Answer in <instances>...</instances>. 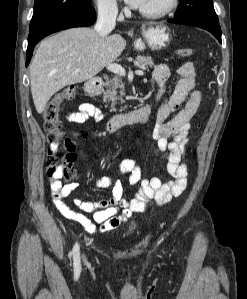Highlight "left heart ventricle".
Here are the masks:
<instances>
[{"label":"left heart ventricle","mask_w":247,"mask_h":299,"mask_svg":"<svg viewBox=\"0 0 247 299\" xmlns=\"http://www.w3.org/2000/svg\"><path fill=\"white\" fill-rule=\"evenodd\" d=\"M167 0H145L141 9L143 10H156L165 5Z\"/></svg>","instance_id":"1"}]
</instances>
